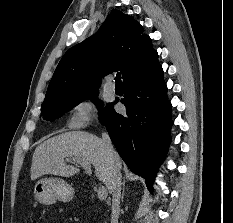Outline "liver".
Masks as SVG:
<instances>
[{
  "label": "liver",
  "instance_id": "6515ba94",
  "mask_svg": "<svg viewBox=\"0 0 233 223\" xmlns=\"http://www.w3.org/2000/svg\"><path fill=\"white\" fill-rule=\"evenodd\" d=\"M65 159L72 163L76 159L91 163L97 179L109 187L113 175L111 169L113 161L108 157L101 137L88 131H67L39 143L32 157L31 179H37L46 173L60 175V177H71L79 173L80 169L76 165L66 163ZM117 163L121 165L120 157Z\"/></svg>",
  "mask_w": 233,
  "mask_h": 223
}]
</instances>
